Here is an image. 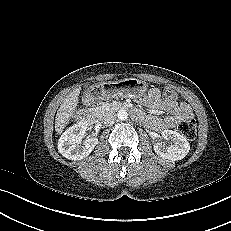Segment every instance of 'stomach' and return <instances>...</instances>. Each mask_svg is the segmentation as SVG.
<instances>
[{
	"label": "stomach",
	"mask_w": 231,
	"mask_h": 231,
	"mask_svg": "<svg viewBox=\"0 0 231 231\" xmlns=\"http://www.w3.org/2000/svg\"><path fill=\"white\" fill-rule=\"evenodd\" d=\"M107 92L111 95L139 98L146 94L147 84L136 78L110 82Z\"/></svg>",
	"instance_id": "obj_1"
}]
</instances>
